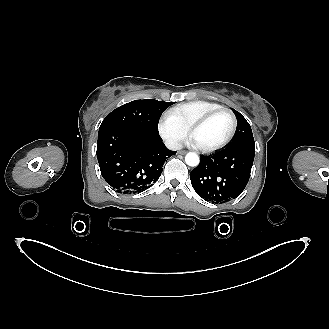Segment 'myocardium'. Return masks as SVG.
I'll list each match as a JSON object with an SVG mask.
<instances>
[{"mask_svg":"<svg viewBox=\"0 0 329 329\" xmlns=\"http://www.w3.org/2000/svg\"><path fill=\"white\" fill-rule=\"evenodd\" d=\"M220 113H226L229 115V117L231 118V129L229 134L227 135V137L221 141L220 143L213 145V146H209V147H201V146H197V149L201 152L204 153H209V152H213L216 151L218 149L223 148L224 146H226L234 137L236 129H237V119L235 114L233 113V111L227 107H221L219 109L213 110L209 113H207L206 115L202 116L201 118H199L198 120H196L195 122H193L188 131H189V135L192 136L193 132L201 127L202 125H204L206 122H208L211 118L215 117L216 115L220 114Z\"/></svg>","mask_w":329,"mask_h":329,"instance_id":"obj_1","label":"myocardium"}]
</instances>
